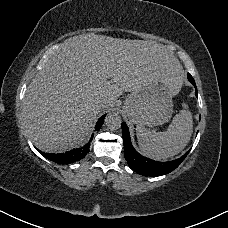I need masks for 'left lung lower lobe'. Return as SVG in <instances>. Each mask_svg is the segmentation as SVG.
Segmentation results:
<instances>
[{
  "instance_id": "0a47b994",
  "label": "left lung lower lobe",
  "mask_w": 228,
  "mask_h": 228,
  "mask_svg": "<svg viewBox=\"0 0 228 228\" xmlns=\"http://www.w3.org/2000/svg\"><path fill=\"white\" fill-rule=\"evenodd\" d=\"M188 80L196 88L194 79L188 74ZM197 96V90L195 92ZM122 135L124 144V156L128 165L137 173L144 176H160L172 172L176 169L186 158L189 151L178 159L168 162H158L140 155L132 146L130 134L127 125L122 123Z\"/></svg>"
}]
</instances>
